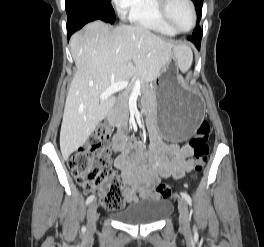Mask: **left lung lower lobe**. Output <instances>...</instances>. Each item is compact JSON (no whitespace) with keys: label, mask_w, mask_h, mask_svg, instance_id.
Here are the masks:
<instances>
[{"label":"left lung lower lobe","mask_w":264,"mask_h":247,"mask_svg":"<svg viewBox=\"0 0 264 247\" xmlns=\"http://www.w3.org/2000/svg\"><path fill=\"white\" fill-rule=\"evenodd\" d=\"M201 38H202V33L192 35L191 37L188 38V40L192 41L195 44V46L198 49H200Z\"/></svg>","instance_id":"obj_1"}]
</instances>
